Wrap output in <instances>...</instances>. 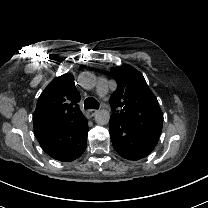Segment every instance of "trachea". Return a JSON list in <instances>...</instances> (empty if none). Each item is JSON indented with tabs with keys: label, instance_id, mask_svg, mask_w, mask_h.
I'll return each mask as SVG.
<instances>
[{
	"label": "trachea",
	"instance_id": "trachea-1",
	"mask_svg": "<svg viewBox=\"0 0 208 208\" xmlns=\"http://www.w3.org/2000/svg\"><path fill=\"white\" fill-rule=\"evenodd\" d=\"M84 106H85V109H91V108L98 109L99 103L96 99H94L92 97H88L84 101Z\"/></svg>",
	"mask_w": 208,
	"mask_h": 208
}]
</instances>
